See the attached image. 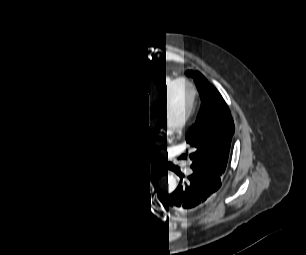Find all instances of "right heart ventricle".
I'll list each match as a JSON object with an SVG mask.
<instances>
[{
    "mask_svg": "<svg viewBox=\"0 0 306 255\" xmlns=\"http://www.w3.org/2000/svg\"><path fill=\"white\" fill-rule=\"evenodd\" d=\"M174 77L167 74H154L148 76L137 90V98L141 102H151L155 96L165 89Z\"/></svg>",
    "mask_w": 306,
    "mask_h": 255,
    "instance_id": "e07e8e85",
    "label": "right heart ventricle"
}]
</instances>
